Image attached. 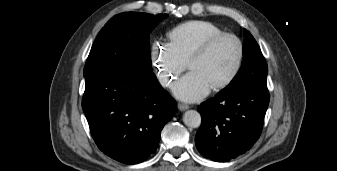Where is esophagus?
<instances>
[{"instance_id": "1", "label": "esophagus", "mask_w": 337, "mask_h": 171, "mask_svg": "<svg viewBox=\"0 0 337 171\" xmlns=\"http://www.w3.org/2000/svg\"><path fill=\"white\" fill-rule=\"evenodd\" d=\"M189 108V105H187V104H183V103H179L178 104V109L180 110V111H184V110H186V109H188Z\"/></svg>"}]
</instances>
